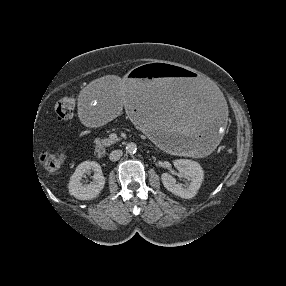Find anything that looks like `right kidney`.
Segmentation results:
<instances>
[{
	"mask_svg": "<svg viewBox=\"0 0 286 286\" xmlns=\"http://www.w3.org/2000/svg\"><path fill=\"white\" fill-rule=\"evenodd\" d=\"M94 172L93 181L84 184L81 179L85 174ZM105 177L103 176L101 166L95 161H84L80 163L73 175L70 177L68 189L70 195L79 200H90L99 195L104 188Z\"/></svg>",
	"mask_w": 286,
	"mask_h": 286,
	"instance_id": "right-kidney-1",
	"label": "right kidney"
}]
</instances>
